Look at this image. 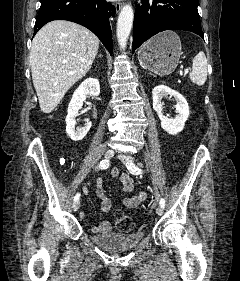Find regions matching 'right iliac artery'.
Segmentation results:
<instances>
[{
    "label": "right iliac artery",
    "instance_id": "obj_1",
    "mask_svg": "<svg viewBox=\"0 0 240 281\" xmlns=\"http://www.w3.org/2000/svg\"><path fill=\"white\" fill-rule=\"evenodd\" d=\"M109 167V160H102L99 164H98V168L99 169H107ZM80 199V193H77L74 197V201H78Z\"/></svg>",
    "mask_w": 240,
    "mask_h": 281
}]
</instances>
